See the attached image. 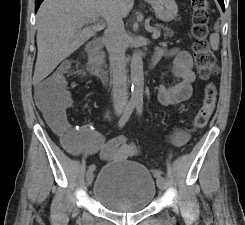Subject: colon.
I'll return each instance as SVG.
<instances>
[{"mask_svg": "<svg viewBox=\"0 0 245 225\" xmlns=\"http://www.w3.org/2000/svg\"><path fill=\"white\" fill-rule=\"evenodd\" d=\"M208 3L207 0H192V34L195 38L193 54L199 75L210 79L217 75L218 66L215 56L206 39L208 33ZM38 104L50 115L57 116L68 105L67 79L60 73L43 81L38 88ZM216 87L210 82L204 89L203 103L193 120L197 129L205 127L213 116L216 102ZM72 130L64 131L61 135L62 143L71 146Z\"/></svg>", "mask_w": 245, "mask_h": 225, "instance_id": "1", "label": "colon"}]
</instances>
